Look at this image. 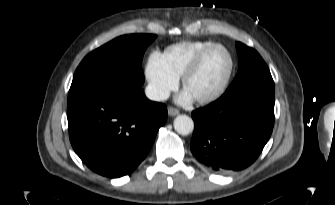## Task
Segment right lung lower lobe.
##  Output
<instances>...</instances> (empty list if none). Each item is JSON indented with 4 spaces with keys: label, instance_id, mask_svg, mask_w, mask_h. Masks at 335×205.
Instances as JSON below:
<instances>
[{
    "label": "right lung lower lobe",
    "instance_id": "98d812e1",
    "mask_svg": "<svg viewBox=\"0 0 335 205\" xmlns=\"http://www.w3.org/2000/svg\"><path fill=\"white\" fill-rule=\"evenodd\" d=\"M67 118L80 159L94 172L116 178L147 156L167 108L148 100L141 88L92 89L68 96Z\"/></svg>",
    "mask_w": 335,
    "mask_h": 205
}]
</instances>
